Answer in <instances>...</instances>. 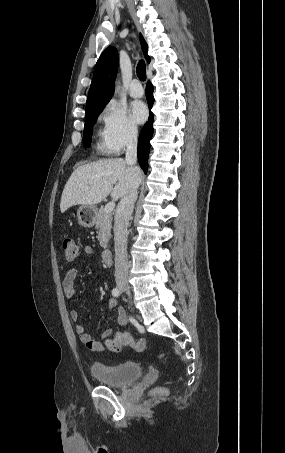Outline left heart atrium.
Here are the masks:
<instances>
[{"label":"left heart atrium","mask_w":285,"mask_h":453,"mask_svg":"<svg viewBox=\"0 0 285 453\" xmlns=\"http://www.w3.org/2000/svg\"><path fill=\"white\" fill-rule=\"evenodd\" d=\"M130 114H131L132 119L136 123L141 124L146 120V118L148 116V110L143 102L134 101L131 103V106H130Z\"/></svg>","instance_id":"39dd6f15"}]
</instances>
